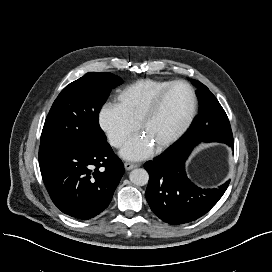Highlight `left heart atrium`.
<instances>
[{"instance_id": "39dd6f15", "label": "left heart atrium", "mask_w": 272, "mask_h": 272, "mask_svg": "<svg viewBox=\"0 0 272 272\" xmlns=\"http://www.w3.org/2000/svg\"><path fill=\"white\" fill-rule=\"evenodd\" d=\"M152 151V142L144 135H137L125 144L120 154L125 159L137 161L147 158Z\"/></svg>"}]
</instances>
